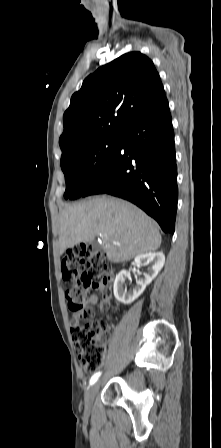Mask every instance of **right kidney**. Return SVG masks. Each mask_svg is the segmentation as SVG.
Instances as JSON below:
<instances>
[{
  "label": "right kidney",
  "mask_w": 221,
  "mask_h": 448,
  "mask_svg": "<svg viewBox=\"0 0 221 448\" xmlns=\"http://www.w3.org/2000/svg\"><path fill=\"white\" fill-rule=\"evenodd\" d=\"M134 262L137 266L151 264V267L148 268L147 273H144V279L137 280L136 286L129 292H127V289L123 285L126 278L129 277L130 272L122 270L116 276L113 288L114 296L119 302L126 305L131 304L137 299L143 293L146 286L157 276L165 263V256L162 252H149L136 256Z\"/></svg>",
  "instance_id": "1"
}]
</instances>
